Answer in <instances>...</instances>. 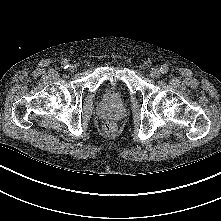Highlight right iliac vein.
<instances>
[{"mask_svg": "<svg viewBox=\"0 0 221 221\" xmlns=\"http://www.w3.org/2000/svg\"><path fill=\"white\" fill-rule=\"evenodd\" d=\"M77 70V66L75 65V64H71L70 66H69V71L70 72H75Z\"/></svg>", "mask_w": 221, "mask_h": 221, "instance_id": "1", "label": "right iliac vein"}]
</instances>
